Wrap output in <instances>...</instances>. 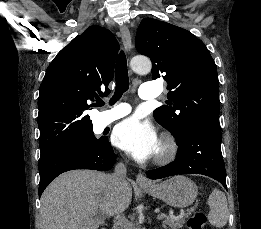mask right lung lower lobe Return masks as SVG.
<instances>
[{
	"label": "right lung lower lobe",
	"instance_id": "98d812e1",
	"mask_svg": "<svg viewBox=\"0 0 261 229\" xmlns=\"http://www.w3.org/2000/svg\"><path fill=\"white\" fill-rule=\"evenodd\" d=\"M116 155L108 141L92 149H61L39 162V196L48 184L63 172L74 169L109 170L113 167Z\"/></svg>",
	"mask_w": 261,
	"mask_h": 229
}]
</instances>
